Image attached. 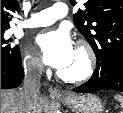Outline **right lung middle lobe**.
Wrapping results in <instances>:
<instances>
[{
	"instance_id": "right-lung-middle-lobe-1",
	"label": "right lung middle lobe",
	"mask_w": 123,
	"mask_h": 113,
	"mask_svg": "<svg viewBox=\"0 0 123 113\" xmlns=\"http://www.w3.org/2000/svg\"><path fill=\"white\" fill-rule=\"evenodd\" d=\"M9 28L1 29V61L15 63L21 60L18 46L11 44L12 39L5 36V31Z\"/></svg>"
}]
</instances>
